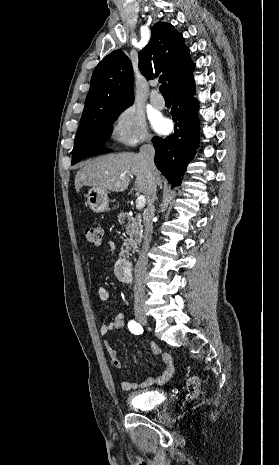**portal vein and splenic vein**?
I'll return each mask as SVG.
<instances>
[{
  "label": "portal vein and splenic vein",
  "mask_w": 279,
  "mask_h": 465,
  "mask_svg": "<svg viewBox=\"0 0 279 465\" xmlns=\"http://www.w3.org/2000/svg\"><path fill=\"white\" fill-rule=\"evenodd\" d=\"M145 203H146V198L144 195H140L138 196L137 200H136V208L138 210L144 208L145 206Z\"/></svg>",
  "instance_id": "portal-vein-and-splenic-vein-1"
}]
</instances>
